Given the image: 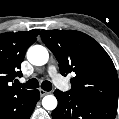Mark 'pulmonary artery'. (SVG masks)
<instances>
[{"instance_id":"obj_1","label":"pulmonary artery","mask_w":119,"mask_h":119,"mask_svg":"<svg viewBox=\"0 0 119 119\" xmlns=\"http://www.w3.org/2000/svg\"><path fill=\"white\" fill-rule=\"evenodd\" d=\"M47 71H48L49 76L53 79V81L55 83H58L59 82V75L57 73L56 66L53 64L49 65Z\"/></svg>"}]
</instances>
